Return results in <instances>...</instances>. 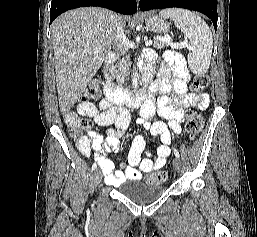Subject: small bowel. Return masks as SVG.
I'll list each match as a JSON object with an SVG mask.
<instances>
[{
  "label": "small bowel",
  "mask_w": 257,
  "mask_h": 237,
  "mask_svg": "<svg viewBox=\"0 0 257 237\" xmlns=\"http://www.w3.org/2000/svg\"><path fill=\"white\" fill-rule=\"evenodd\" d=\"M150 60L151 58H147L145 66L151 76ZM165 60L174 76L170 78L164 75V68L159 69L160 78L150 83V93L140 107L138 120L151 135L160 138L162 144L158 147L156 156L145 151V140L141 135H137L133 139L127 162L121 166L122 170H115L114 163L107 156L119 148L120 137L131 120L129 109L114 105L107 98H103L97 105L88 101H81L77 105L79 114L92 118L96 125L115 126L107 130L105 139L91 131L86 137H80L77 141V147L82 154L90 156L92 151L94 152L105 181L111 186H118L126 179H139L142 173H150L164 167L170 154L172 135L181 133V123L186 119V110L190 107L205 109L209 106L210 99L207 94L187 91L190 76L181 57L169 51L165 54ZM156 93H159L157 98ZM156 114L165 121L155 119Z\"/></svg>",
  "instance_id": "c3829d8e"
}]
</instances>
